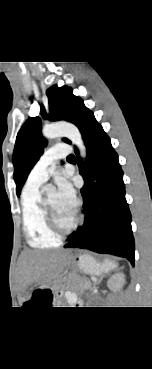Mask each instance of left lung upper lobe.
<instances>
[{"mask_svg": "<svg viewBox=\"0 0 152 369\" xmlns=\"http://www.w3.org/2000/svg\"><path fill=\"white\" fill-rule=\"evenodd\" d=\"M49 115L41 106V115L50 121L65 120L75 124L81 131L86 120L93 114L81 98L73 95L70 87L52 86L47 90ZM42 122L39 117L29 118L21 127L16 138L13 153L14 180L16 193L20 195L21 188L27 176L39 157L44 152L46 141L41 134ZM66 143H71L64 138Z\"/></svg>", "mask_w": 152, "mask_h": 369, "instance_id": "left-lung-upper-lobe-1", "label": "left lung upper lobe"}]
</instances>
